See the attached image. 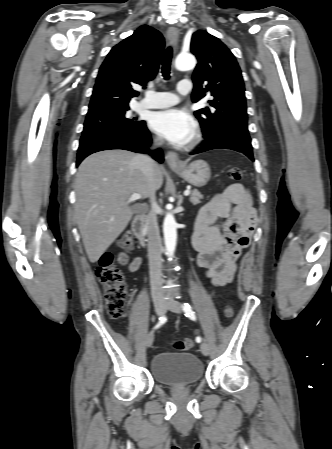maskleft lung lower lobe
<instances>
[{
    "label": "left lung lower lobe",
    "instance_id": "1",
    "mask_svg": "<svg viewBox=\"0 0 332 449\" xmlns=\"http://www.w3.org/2000/svg\"><path fill=\"white\" fill-rule=\"evenodd\" d=\"M212 149L235 150L245 154L252 161H254L251 138L247 127L232 126L224 128L219 132L205 138V142L202 147L196 150L193 154Z\"/></svg>",
    "mask_w": 332,
    "mask_h": 449
}]
</instances>
